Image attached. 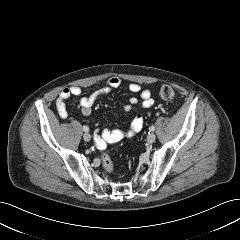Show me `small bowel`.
I'll return each mask as SVG.
<instances>
[{
    "instance_id": "1",
    "label": "small bowel",
    "mask_w": 240,
    "mask_h": 240,
    "mask_svg": "<svg viewBox=\"0 0 240 240\" xmlns=\"http://www.w3.org/2000/svg\"><path fill=\"white\" fill-rule=\"evenodd\" d=\"M121 85V80L117 77H110L106 80L105 85L99 90L93 92L87 97H83L80 100L81 113L84 116H90L92 113V108L96 100L112 90L119 88ZM129 90L133 93H139L141 98L142 108H150L154 104V100L151 97V92L148 89H142L137 83H131L129 85ZM82 90L78 86H70L63 89L57 100L56 109L61 118H67L68 112L66 107V101L72 96H79ZM138 99L136 97H130L127 103L124 105V109L130 112L134 105L138 104ZM144 126V119L140 113H137L132 119L130 125L127 128L114 129V130H102L95 134L96 143L100 147H105L106 144H112L119 142L123 139L132 138L138 132L142 130Z\"/></svg>"
}]
</instances>
